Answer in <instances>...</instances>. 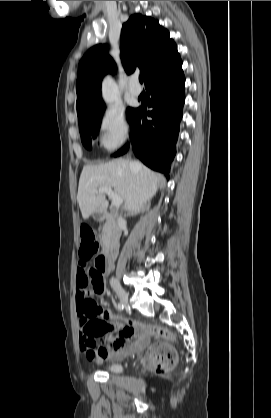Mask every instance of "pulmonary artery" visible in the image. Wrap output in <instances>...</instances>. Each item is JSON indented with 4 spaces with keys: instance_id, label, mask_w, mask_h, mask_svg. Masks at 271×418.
<instances>
[{
    "instance_id": "obj_1",
    "label": "pulmonary artery",
    "mask_w": 271,
    "mask_h": 418,
    "mask_svg": "<svg viewBox=\"0 0 271 418\" xmlns=\"http://www.w3.org/2000/svg\"><path fill=\"white\" fill-rule=\"evenodd\" d=\"M129 92L132 96L134 97H138L141 94V89L140 87L137 85V79H133L131 81V85L129 87Z\"/></svg>"
}]
</instances>
